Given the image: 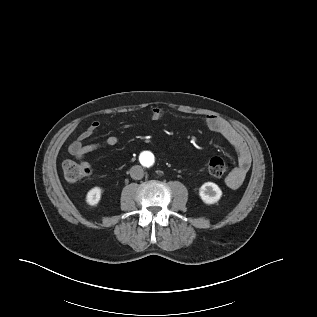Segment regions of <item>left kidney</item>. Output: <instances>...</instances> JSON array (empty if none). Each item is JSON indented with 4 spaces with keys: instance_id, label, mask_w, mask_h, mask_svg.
<instances>
[{
    "instance_id": "5707ae66",
    "label": "left kidney",
    "mask_w": 317,
    "mask_h": 317,
    "mask_svg": "<svg viewBox=\"0 0 317 317\" xmlns=\"http://www.w3.org/2000/svg\"><path fill=\"white\" fill-rule=\"evenodd\" d=\"M221 195V189L213 182H206L199 189V196L206 204H214L218 202Z\"/></svg>"
}]
</instances>
